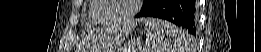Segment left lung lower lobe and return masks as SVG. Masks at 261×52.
I'll return each mask as SVG.
<instances>
[{"label":"left lung lower lobe","instance_id":"1","mask_svg":"<svg viewBox=\"0 0 261 52\" xmlns=\"http://www.w3.org/2000/svg\"><path fill=\"white\" fill-rule=\"evenodd\" d=\"M157 17L168 20L196 35L197 11L195 0H153L136 17Z\"/></svg>","mask_w":261,"mask_h":52}]
</instances>
